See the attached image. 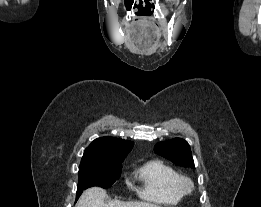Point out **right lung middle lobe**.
Instances as JSON below:
<instances>
[{
	"mask_svg": "<svg viewBox=\"0 0 261 207\" xmlns=\"http://www.w3.org/2000/svg\"><path fill=\"white\" fill-rule=\"evenodd\" d=\"M124 158L125 157L115 159L108 164L80 165L76 200L82 192L89 187H111L121 175L122 161Z\"/></svg>",
	"mask_w": 261,
	"mask_h": 207,
	"instance_id": "right-lung-middle-lobe-1",
	"label": "right lung middle lobe"
}]
</instances>
